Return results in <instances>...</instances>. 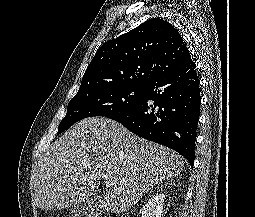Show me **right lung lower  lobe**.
<instances>
[{
    "label": "right lung lower lobe",
    "instance_id": "obj_1",
    "mask_svg": "<svg viewBox=\"0 0 255 217\" xmlns=\"http://www.w3.org/2000/svg\"><path fill=\"white\" fill-rule=\"evenodd\" d=\"M199 84L191 59L146 86L137 104L107 117L144 139L172 148L193 167L201 102Z\"/></svg>",
    "mask_w": 255,
    "mask_h": 217
}]
</instances>
